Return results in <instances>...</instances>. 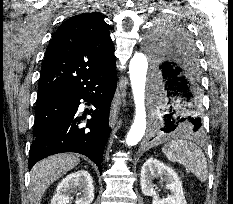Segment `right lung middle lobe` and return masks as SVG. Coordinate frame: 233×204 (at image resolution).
Returning a JSON list of instances; mask_svg holds the SVG:
<instances>
[{
  "label": "right lung middle lobe",
  "instance_id": "obj_1",
  "mask_svg": "<svg viewBox=\"0 0 233 204\" xmlns=\"http://www.w3.org/2000/svg\"><path fill=\"white\" fill-rule=\"evenodd\" d=\"M63 102L62 95L52 96L37 102L34 138L46 134L65 117L66 112L62 107Z\"/></svg>",
  "mask_w": 233,
  "mask_h": 204
}]
</instances>
